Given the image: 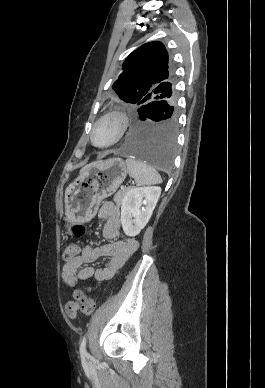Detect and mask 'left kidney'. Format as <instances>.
<instances>
[{
  "label": "left kidney",
  "instance_id": "1",
  "mask_svg": "<svg viewBox=\"0 0 265 388\" xmlns=\"http://www.w3.org/2000/svg\"><path fill=\"white\" fill-rule=\"evenodd\" d=\"M161 188H130L122 200L121 224L126 236H138L148 224L160 198ZM134 218V220H132Z\"/></svg>",
  "mask_w": 265,
  "mask_h": 388
}]
</instances>
